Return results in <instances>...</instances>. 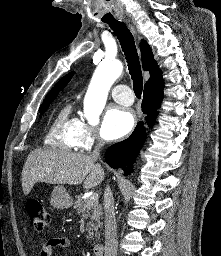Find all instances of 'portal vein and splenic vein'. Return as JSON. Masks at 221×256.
I'll return each mask as SVG.
<instances>
[{
    "label": "portal vein and splenic vein",
    "mask_w": 221,
    "mask_h": 256,
    "mask_svg": "<svg viewBox=\"0 0 221 256\" xmlns=\"http://www.w3.org/2000/svg\"><path fill=\"white\" fill-rule=\"evenodd\" d=\"M90 199H91L92 201L98 202V194H97V193H93V194L91 195Z\"/></svg>",
    "instance_id": "18ae733b"
}]
</instances>
